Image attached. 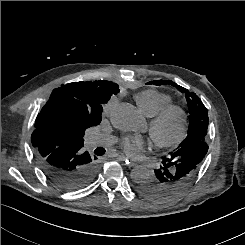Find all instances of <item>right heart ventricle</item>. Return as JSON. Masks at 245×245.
<instances>
[{
    "instance_id": "1",
    "label": "right heart ventricle",
    "mask_w": 245,
    "mask_h": 245,
    "mask_svg": "<svg viewBox=\"0 0 245 245\" xmlns=\"http://www.w3.org/2000/svg\"><path fill=\"white\" fill-rule=\"evenodd\" d=\"M135 100L141 112L147 117H154L172 103L171 96L157 90H145L137 94Z\"/></svg>"
}]
</instances>
